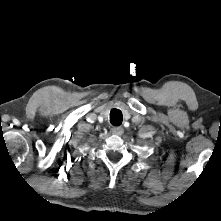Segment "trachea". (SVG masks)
<instances>
[{"mask_svg": "<svg viewBox=\"0 0 221 221\" xmlns=\"http://www.w3.org/2000/svg\"><path fill=\"white\" fill-rule=\"evenodd\" d=\"M122 121V112L119 109H112L110 112V123L114 126H119L121 125Z\"/></svg>", "mask_w": 221, "mask_h": 221, "instance_id": "obj_1", "label": "trachea"}]
</instances>
